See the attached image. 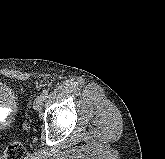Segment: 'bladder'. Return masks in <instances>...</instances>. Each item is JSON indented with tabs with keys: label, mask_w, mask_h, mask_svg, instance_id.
I'll return each instance as SVG.
<instances>
[{
	"label": "bladder",
	"mask_w": 165,
	"mask_h": 159,
	"mask_svg": "<svg viewBox=\"0 0 165 159\" xmlns=\"http://www.w3.org/2000/svg\"><path fill=\"white\" fill-rule=\"evenodd\" d=\"M15 102V94L11 87L0 81V106L12 105Z\"/></svg>",
	"instance_id": "1"
}]
</instances>
